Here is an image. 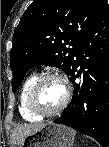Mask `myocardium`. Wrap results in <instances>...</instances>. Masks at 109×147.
I'll list each match as a JSON object with an SVG mask.
<instances>
[{
  "mask_svg": "<svg viewBox=\"0 0 109 147\" xmlns=\"http://www.w3.org/2000/svg\"><path fill=\"white\" fill-rule=\"evenodd\" d=\"M50 79H57L63 83L65 87V96H64L62 103L57 108L50 110V111H44L36 105V97L43 83ZM70 97H71V86H70L68 79L66 78L64 74L54 72V73H48V74L38 77V79L33 84L28 94L26 104H27L28 110L32 114L38 117H41V118L51 117V116H56L60 114L67 107L70 101Z\"/></svg>",
  "mask_w": 109,
  "mask_h": 147,
  "instance_id": "myocardium-1",
  "label": "myocardium"
}]
</instances>
